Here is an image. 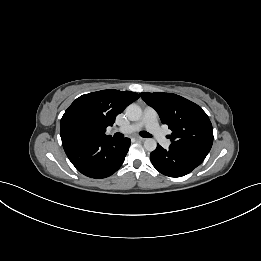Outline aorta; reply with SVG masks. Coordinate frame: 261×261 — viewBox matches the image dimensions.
Returning a JSON list of instances; mask_svg holds the SVG:
<instances>
[{
    "instance_id": "762f6f07",
    "label": "aorta",
    "mask_w": 261,
    "mask_h": 261,
    "mask_svg": "<svg viewBox=\"0 0 261 261\" xmlns=\"http://www.w3.org/2000/svg\"><path fill=\"white\" fill-rule=\"evenodd\" d=\"M126 116L131 121H138L142 116V109L136 104H130L126 108ZM157 147V142L153 138H147L144 142V148L147 151H154Z\"/></svg>"
}]
</instances>
